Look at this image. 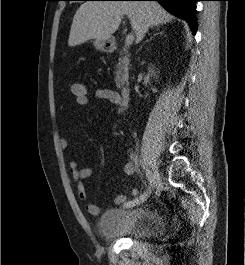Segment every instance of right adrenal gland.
Here are the masks:
<instances>
[{"instance_id":"2a0ac1e0","label":"right adrenal gland","mask_w":245,"mask_h":265,"mask_svg":"<svg viewBox=\"0 0 245 265\" xmlns=\"http://www.w3.org/2000/svg\"><path fill=\"white\" fill-rule=\"evenodd\" d=\"M157 31H158V33H156V34H154V36H156V35H158V34H160V35H162L163 34V31H161L160 32V28L157 26ZM153 37H151L150 39H152Z\"/></svg>"}]
</instances>
